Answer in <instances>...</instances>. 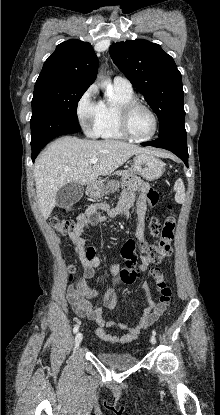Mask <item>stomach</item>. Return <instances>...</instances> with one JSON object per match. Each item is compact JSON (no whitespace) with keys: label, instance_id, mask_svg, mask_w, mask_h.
Here are the masks:
<instances>
[{"label":"stomach","instance_id":"0dacf381","mask_svg":"<svg viewBox=\"0 0 220 415\" xmlns=\"http://www.w3.org/2000/svg\"><path fill=\"white\" fill-rule=\"evenodd\" d=\"M133 169L148 181L156 180L164 173V163L156 156L148 153H139L133 159ZM120 188V183L112 180L106 185L102 181L93 182L87 188L88 196L100 198L113 193Z\"/></svg>","mask_w":220,"mask_h":415}]
</instances>
